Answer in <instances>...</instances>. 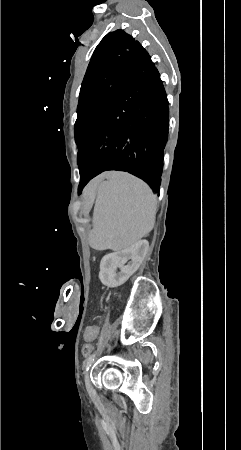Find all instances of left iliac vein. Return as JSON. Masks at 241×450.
<instances>
[{
    "instance_id": "left-iliac-vein-1",
    "label": "left iliac vein",
    "mask_w": 241,
    "mask_h": 450,
    "mask_svg": "<svg viewBox=\"0 0 241 450\" xmlns=\"http://www.w3.org/2000/svg\"><path fill=\"white\" fill-rule=\"evenodd\" d=\"M85 386H86V390H87L88 394L90 396L94 395L95 391L90 383L88 374H86V376H85Z\"/></svg>"
}]
</instances>
